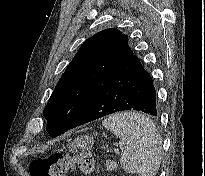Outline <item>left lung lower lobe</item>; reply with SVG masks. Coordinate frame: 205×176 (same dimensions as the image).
Segmentation results:
<instances>
[{
  "label": "left lung lower lobe",
  "mask_w": 205,
  "mask_h": 176,
  "mask_svg": "<svg viewBox=\"0 0 205 176\" xmlns=\"http://www.w3.org/2000/svg\"><path fill=\"white\" fill-rule=\"evenodd\" d=\"M123 110L157 116L152 78L134 55L96 90L69 129Z\"/></svg>",
  "instance_id": "left-lung-lower-lobe-1"
}]
</instances>
